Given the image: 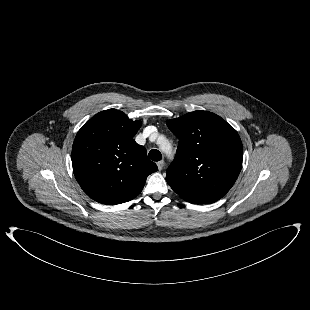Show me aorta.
Masks as SVG:
<instances>
[{
    "label": "aorta",
    "instance_id": "aorta-1",
    "mask_svg": "<svg viewBox=\"0 0 310 310\" xmlns=\"http://www.w3.org/2000/svg\"><path fill=\"white\" fill-rule=\"evenodd\" d=\"M169 145V143L165 140L163 146Z\"/></svg>",
    "mask_w": 310,
    "mask_h": 310
}]
</instances>
